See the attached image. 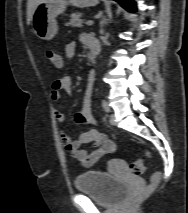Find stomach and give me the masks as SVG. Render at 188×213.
Segmentation results:
<instances>
[{
    "label": "stomach",
    "mask_w": 188,
    "mask_h": 213,
    "mask_svg": "<svg viewBox=\"0 0 188 213\" xmlns=\"http://www.w3.org/2000/svg\"><path fill=\"white\" fill-rule=\"evenodd\" d=\"M98 0H42L32 17L34 33L40 39L50 40L58 31L56 18L71 4L76 7L94 6Z\"/></svg>",
    "instance_id": "obj_1"
}]
</instances>
